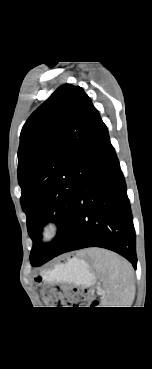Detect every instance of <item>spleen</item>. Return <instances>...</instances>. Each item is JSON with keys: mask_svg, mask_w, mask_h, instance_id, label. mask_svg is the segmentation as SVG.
Returning a JSON list of instances; mask_svg holds the SVG:
<instances>
[{"mask_svg": "<svg viewBox=\"0 0 152 369\" xmlns=\"http://www.w3.org/2000/svg\"><path fill=\"white\" fill-rule=\"evenodd\" d=\"M94 267L102 275L106 290L101 298L106 307H130L134 294L132 266L119 255L102 249H92Z\"/></svg>", "mask_w": 152, "mask_h": 369, "instance_id": "3e777b00", "label": "spleen"}]
</instances>
